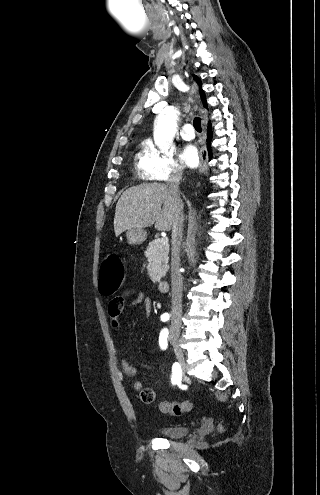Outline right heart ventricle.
<instances>
[{
    "instance_id": "e07e8e85",
    "label": "right heart ventricle",
    "mask_w": 320,
    "mask_h": 495,
    "mask_svg": "<svg viewBox=\"0 0 320 495\" xmlns=\"http://www.w3.org/2000/svg\"><path fill=\"white\" fill-rule=\"evenodd\" d=\"M144 156H145L144 152H139L136 156L137 168L142 177H145V170L143 168Z\"/></svg>"
}]
</instances>
